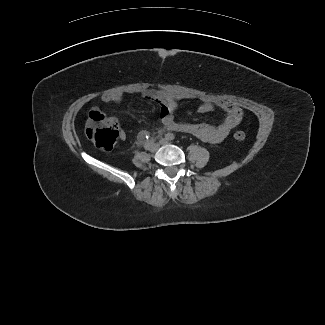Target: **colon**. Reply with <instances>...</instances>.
Listing matches in <instances>:
<instances>
[{"mask_svg":"<svg viewBox=\"0 0 325 325\" xmlns=\"http://www.w3.org/2000/svg\"><path fill=\"white\" fill-rule=\"evenodd\" d=\"M85 133L97 147L103 150L112 149L118 140L116 121L97 110L90 111ZM233 136L237 141H243L246 138L243 131H236Z\"/></svg>","mask_w":325,"mask_h":325,"instance_id":"obj_1","label":"colon"}]
</instances>
